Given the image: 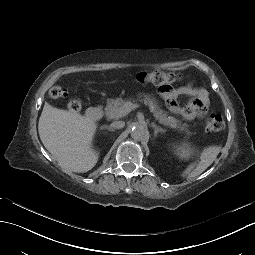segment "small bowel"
Returning a JSON list of instances; mask_svg holds the SVG:
<instances>
[{
  "label": "small bowel",
  "instance_id": "small-bowel-1",
  "mask_svg": "<svg viewBox=\"0 0 255 255\" xmlns=\"http://www.w3.org/2000/svg\"><path fill=\"white\" fill-rule=\"evenodd\" d=\"M176 93L191 96L192 100L186 107H179L175 102H172L170 107L173 112L181 114L187 120L201 118L205 115L209 105V94L205 89L195 88L193 84H187L179 88Z\"/></svg>",
  "mask_w": 255,
  "mask_h": 255
}]
</instances>
